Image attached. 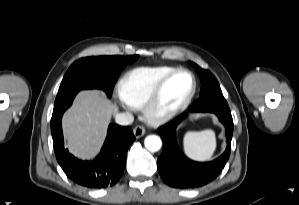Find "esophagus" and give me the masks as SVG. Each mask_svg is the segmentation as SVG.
Masks as SVG:
<instances>
[{"mask_svg":"<svg viewBox=\"0 0 299 205\" xmlns=\"http://www.w3.org/2000/svg\"><path fill=\"white\" fill-rule=\"evenodd\" d=\"M133 133L136 138H140L145 134V128L143 126H136Z\"/></svg>","mask_w":299,"mask_h":205,"instance_id":"1","label":"esophagus"}]
</instances>
